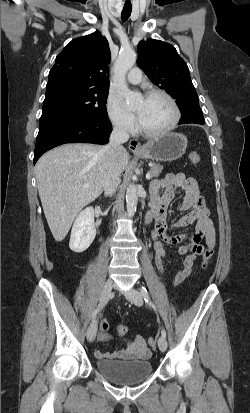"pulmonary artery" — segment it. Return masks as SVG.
Wrapping results in <instances>:
<instances>
[{"label": "pulmonary artery", "instance_id": "obj_1", "mask_svg": "<svg viewBox=\"0 0 250 413\" xmlns=\"http://www.w3.org/2000/svg\"><path fill=\"white\" fill-rule=\"evenodd\" d=\"M142 79V72L140 68L134 67L127 74V81L131 84H138Z\"/></svg>", "mask_w": 250, "mask_h": 413}]
</instances>
